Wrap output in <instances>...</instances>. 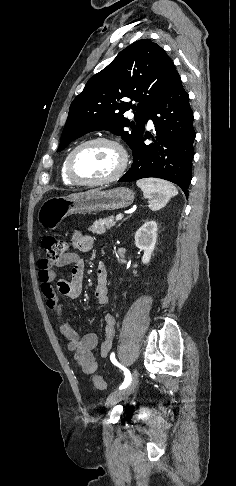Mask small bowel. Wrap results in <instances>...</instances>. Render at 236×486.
Returning <instances> with one entry per match:
<instances>
[{
	"mask_svg": "<svg viewBox=\"0 0 236 486\" xmlns=\"http://www.w3.org/2000/svg\"><path fill=\"white\" fill-rule=\"evenodd\" d=\"M72 245L77 251L88 252L94 246V239L90 235L76 231L72 237ZM54 266H71L70 279L58 280L56 289L52 285L55 279ZM38 267V277L41 291L46 298V306L55 315L59 331L67 339L68 349L73 352L74 360L83 373L86 375L95 373L98 369V363L93 350L98 346V336L95 333L80 336L72 325L63 319V305L58 296L60 294L70 299H77L81 295L85 270L84 261L76 252H67L56 262H51L48 259L40 260ZM94 295L99 306L108 305L107 270L102 262L97 267ZM115 324L114 315L105 313V339L100 345L102 358H106L111 350Z\"/></svg>",
	"mask_w": 236,
	"mask_h": 486,
	"instance_id": "c3829d8e",
	"label": "small bowel"
}]
</instances>
